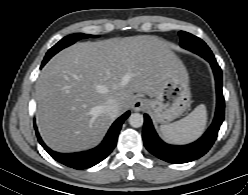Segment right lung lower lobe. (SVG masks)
I'll use <instances>...</instances> for the list:
<instances>
[{
	"instance_id": "right-lung-lower-lobe-1",
	"label": "right lung lower lobe",
	"mask_w": 248,
	"mask_h": 195,
	"mask_svg": "<svg viewBox=\"0 0 248 195\" xmlns=\"http://www.w3.org/2000/svg\"><path fill=\"white\" fill-rule=\"evenodd\" d=\"M44 65L45 63H42V67ZM129 115L130 112L127 111L125 114L119 117L110 127L102 143L96 148L90 149L88 151L77 153H58L51 150L45 145L40 135L38 134L37 129L36 134L40 144L56 161L74 169H86L98 164L112 152V150L116 146L117 138L122 124Z\"/></svg>"
}]
</instances>
